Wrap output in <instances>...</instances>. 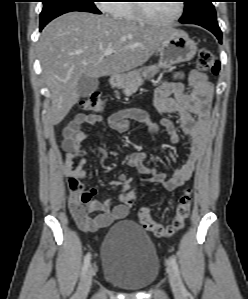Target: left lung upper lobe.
Wrapping results in <instances>:
<instances>
[{
  "label": "left lung upper lobe",
  "instance_id": "1",
  "mask_svg": "<svg viewBox=\"0 0 248 299\" xmlns=\"http://www.w3.org/2000/svg\"><path fill=\"white\" fill-rule=\"evenodd\" d=\"M184 3V13L179 20L181 23L217 22L212 0H184Z\"/></svg>",
  "mask_w": 248,
  "mask_h": 299
}]
</instances>
